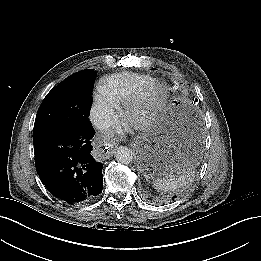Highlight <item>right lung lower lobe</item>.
Instances as JSON below:
<instances>
[{
    "label": "right lung lower lobe",
    "mask_w": 261,
    "mask_h": 261,
    "mask_svg": "<svg viewBox=\"0 0 261 261\" xmlns=\"http://www.w3.org/2000/svg\"><path fill=\"white\" fill-rule=\"evenodd\" d=\"M94 135L88 117L33 132L36 170L53 196L78 203L102 192L103 165L91 156Z\"/></svg>",
    "instance_id": "right-lung-lower-lobe-1"
}]
</instances>
